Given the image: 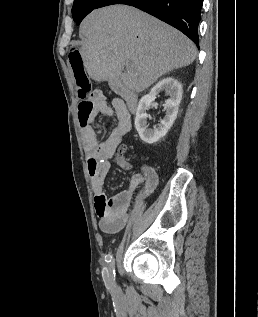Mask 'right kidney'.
I'll return each instance as SVG.
<instances>
[{
    "label": "right kidney",
    "instance_id": "1",
    "mask_svg": "<svg viewBox=\"0 0 258 317\" xmlns=\"http://www.w3.org/2000/svg\"><path fill=\"white\" fill-rule=\"evenodd\" d=\"M161 90H166V94H169L170 96V98H167L163 104L166 114L164 118H161L160 124H158L157 128H148V114L146 110H148V106H150L151 102L155 100L157 94H159ZM181 98L182 86L180 82H178L177 78H173V76L162 78V80H159V82L151 88L148 94H144V96L140 98L136 110L135 126L136 130H138L140 134V138H142L144 142L153 144V142H157L159 138L165 136L170 126H172L175 118H177Z\"/></svg>",
    "mask_w": 258,
    "mask_h": 317
}]
</instances>
